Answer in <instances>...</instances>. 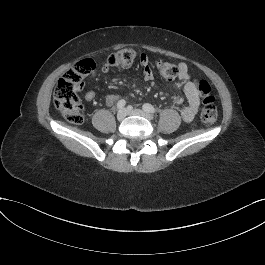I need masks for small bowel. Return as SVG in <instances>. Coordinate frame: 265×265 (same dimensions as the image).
I'll return each instance as SVG.
<instances>
[{"instance_id": "small-bowel-1", "label": "small bowel", "mask_w": 265, "mask_h": 265, "mask_svg": "<svg viewBox=\"0 0 265 265\" xmlns=\"http://www.w3.org/2000/svg\"><path fill=\"white\" fill-rule=\"evenodd\" d=\"M140 66L144 80L152 81L154 79V74L150 67L148 59L144 55H142L140 58ZM178 68H179L178 76L182 82L181 90L183 93V97L182 96L175 97L174 103L177 106H179L182 119L185 122L189 123L195 120L200 107V97L197 87V80L191 76L189 68L186 63L184 62L179 63ZM104 69L106 70V65L104 66ZM95 96H96L95 91L89 90L85 94V100L92 101L95 98ZM119 99H120L119 95L110 93L104 97V102L107 105H113Z\"/></svg>"}]
</instances>
